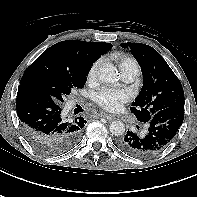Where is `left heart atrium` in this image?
Here are the masks:
<instances>
[{
	"label": "left heart atrium",
	"instance_id": "left-heart-atrium-1",
	"mask_svg": "<svg viewBox=\"0 0 197 197\" xmlns=\"http://www.w3.org/2000/svg\"><path fill=\"white\" fill-rule=\"evenodd\" d=\"M129 100V94L125 90L103 87L94 95L95 103L108 111H117L122 104Z\"/></svg>",
	"mask_w": 197,
	"mask_h": 197
}]
</instances>
